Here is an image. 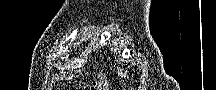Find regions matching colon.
<instances>
[{
	"label": "colon",
	"mask_w": 216,
	"mask_h": 90,
	"mask_svg": "<svg viewBox=\"0 0 216 90\" xmlns=\"http://www.w3.org/2000/svg\"><path fill=\"white\" fill-rule=\"evenodd\" d=\"M109 88L110 86L107 76L103 72H99L90 90H109Z\"/></svg>",
	"instance_id": "obj_1"
}]
</instances>
